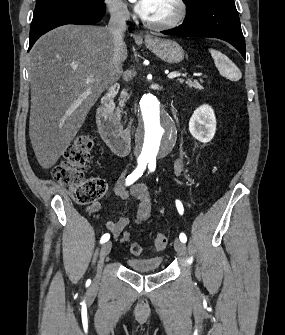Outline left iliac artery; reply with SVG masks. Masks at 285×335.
<instances>
[{
	"instance_id": "44dca946",
	"label": "left iliac artery",
	"mask_w": 285,
	"mask_h": 335,
	"mask_svg": "<svg viewBox=\"0 0 285 335\" xmlns=\"http://www.w3.org/2000/svg\"><path fill=\"white\" fill-rule=\"evenodd\" d=\"M148 168L150 172H153L156 168V160L155 159H150L148 161ZM176 207L178 209V212L182 215L183 214V205L179 200H176ZM180 241H182L183 243H185L187 241V237L184 233H181L180 236Z\"/></svg>"
}]
</instances>
